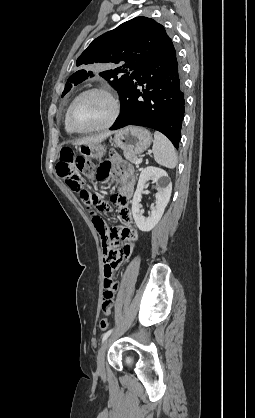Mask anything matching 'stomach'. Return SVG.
Here are the masks:
<instances>
[{"label":"stomach","instance_id":"stomach-1","mask_svg":"<svg viewBox=\"0 0 255 418\" xmlns=\"http://www.w3.org/2000/svg\"><path fill=\"white\" fill-rule=\"evenodd\" d=\"M114 142L124 152L137 156L151 145L152 136L145 128L130 126L117 131L114 136ZM79 150L85 157L96 159L101 158L105 153V149L101 144L83 145Z\"/></svg>","mask_w":255,"mask_h":418}]
</instances>
